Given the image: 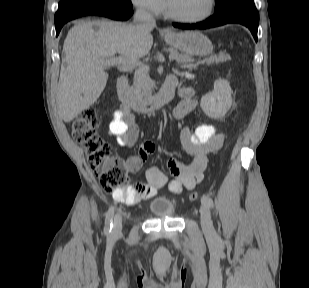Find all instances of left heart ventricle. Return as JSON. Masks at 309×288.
Instances as JSON below:
<instances>
[{"mask_svg":"<svg viewBox=\"0 0 309 288\" xmlns=\"http://www.w3.org/2000/svg\"><path fill=\"white\" fill-rule=\"evenodd\" d=\"M177 15L194 18L203 15L209 8V0H168Z\"/></svg>","mask_w":309,"mask_h":288,"instance_id":"1","label":"left heart ventricle"}]
</instances>
